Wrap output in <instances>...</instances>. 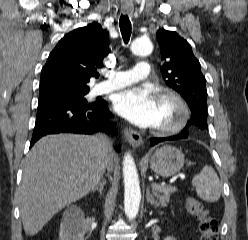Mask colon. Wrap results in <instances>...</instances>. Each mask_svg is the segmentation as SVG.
I'll use <instances>...</instances> for the list:
<instances>
[{
	"instance_id": "obj_1",
	"label": "colon",
	"mask_w": 248,
	"mask_h": 240,
	"mask_svg": "<svg viewBox=\"0 0 248 240\" xmlns=\"http://www.w3.org/2000/svg\"><path fill=\"white\" fill-rule=\"evenodd\" d=\"M186 208L200 222V240H218L219 223L212 217L203 205L194 198L186 201Z\"/></svg>"
}]
</instances>
